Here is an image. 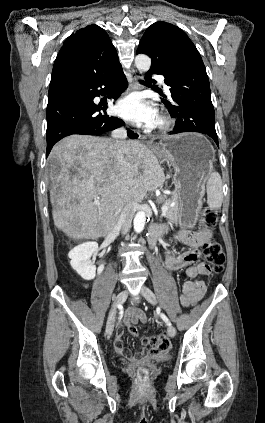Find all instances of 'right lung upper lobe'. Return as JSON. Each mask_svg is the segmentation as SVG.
Returning <instances> with one entry per match:
<instances>
[{
  "instance_id": "right-lung-upper-lobe-1",
  "label": "right lung upper lobe",
  "mask_w": 265,
  "mask_h": 423,
  "mask_svg": "<svg viewBox=\"0 0 265 423\" xmlns=\"http://www.w3.org/2000/svg\"><path fill=\"white\" fill-rule=\"evenodd\" d=\"M121 68L107 33L97 25H89L65 40L53 66L50 87L106 76Z\"/></svg>"
}]
</instances>
